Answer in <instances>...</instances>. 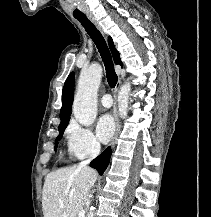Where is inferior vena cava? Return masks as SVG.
I'll list each match as a JSON object with an SVG mask.
<instances>
[{"label":"inferior vena cava","instance_id":"inferior-vena-cava-1","mask_svg":"<svg viewBox=\"0 0 211 217\" xmlns=\"http://www.w3.org/2000/svg\"><path fill=\"white\" fill-rule=\"evenodd\" d=\"M100 152V144H96L94 147H93V150L91 152V156L89 159L87 160H84L82 162L79 163V167H86L90 162L91 160Z\"/></svg>","mask_w":211,"mask_h":217}]
</instances>
